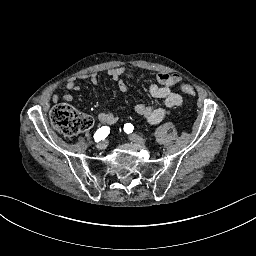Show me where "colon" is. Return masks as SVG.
<instances>
[{
    "label": "colon",
    "instance_id": "colon-1",
    "mask_svg": "<svg viewBox=\"0 0 256 256\" xmlns=\"http://www.w3.org/2000/svg\"><path fill=\"white\" fill-rule=\"evenodd\" d=\"M181 89L186 94H192L193 88L187 82L181 84ZM53 126L66 136H73L81 131L88 130L93 120L88 115L76 111L67 103L55 106L50 116Z\"/></svg>",
    "mask_w": 256,
    "mask_h": 256
}]
</instances>
